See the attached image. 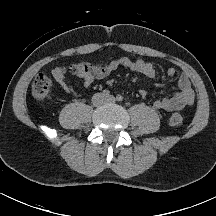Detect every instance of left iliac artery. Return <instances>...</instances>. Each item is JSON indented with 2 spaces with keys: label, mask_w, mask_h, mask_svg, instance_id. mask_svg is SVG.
Returning <instances> with one entry per match:
<instances>
[{
  "label": "left iliac artery",
  "mask_w": 216,
  "mask_h": 216,
  "mask_svg": "<svg viewBox=\"0 0 216 216\" xmlns=\"http://www.w3.org/2000/svg\"><path fill=\"white\" fill-rule=\"evenodd\" d=\"M116 100H117L118 102L123 101V96L117 95Z\"/></svg>",
  "instance_id": "left-iliac-artery-1"
}]
</instances>
